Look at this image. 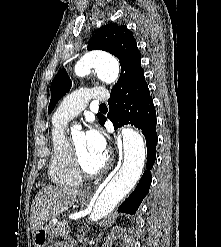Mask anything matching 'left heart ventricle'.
<instances>
[{
  "label": "left heart ventricle",
  "instance_id": "1",
  "mask_svg": "<svg viewBox=\"0 0 221 247\" xmlns=\"http://www.w3.org/2000/svg\"><path fill=\"white\" fill-rule=\"evenodd\" d=\"M77 151L84 167L88 171L96 170L103 162L105 155L94 151L87 143L85 133L76 132L73 137Z\"/></svg>",
  "mask_w": 221,
  "mask_h": 247
}]
</instances>
